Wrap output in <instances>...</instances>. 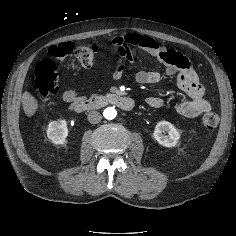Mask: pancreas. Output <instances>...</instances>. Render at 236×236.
Returning <instances> with one entry per match:
<instances>
[{
  "label": "pancreas",
  "mask_w": 236,
  "mask_h": 236,
  "mask_svg": "<svg viewBox=\"0 0 236 236\" xmlns=\"http://www.w3.org/2000/svg\"><path fill=\"white\" fill-rule=\"evenodd\" d=\"M105 97H106V98L111 97V94L108 93Z\"/></svg>",
  "instance_id": "cf45deb5"
}]
</instances>
